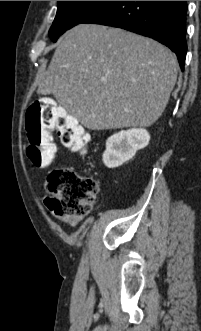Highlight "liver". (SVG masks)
Listing matches in <instances>:
<instances>
[{
    "instance_id": "6515ba94",
    "label": "liver",
    "mask_w": 201,
    "mask_h": 331,
    "mask_svg": "<svg viewBox=\"0 0 201 331\" xmlns=\"http://www.w3.org/2000/svg\"><path fill=\"white\" fill-rule=\"evenodd\" d=\"M177 72L176 56L153 39L79 24L59 42L39 86L88 129L148 127L163 113Z\"/></svg>"
}]
</instances>
